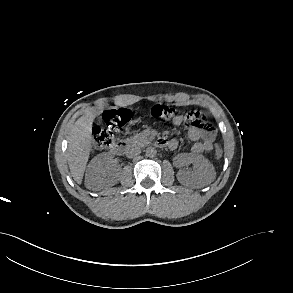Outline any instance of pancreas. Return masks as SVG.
Masks as SVG:
<instances>
[{
    "label": "pancreas",
    "instance_id": "cf45deb5",
    "mask_svg": "<svg viewBox=\"0 0 293 293\" xmlns=\"http://www.w3.org/2000/svg\"><path fill=\"white\" fill-rule=\"evenodd\" d=\"M127 143L133 146H144L149 143V140L147 138V134L144 132H140L136 135H134L131 138H128Z\"/></svg>",
    "mask_w": 293,
    "mask_h": 293
}]
</instances>
